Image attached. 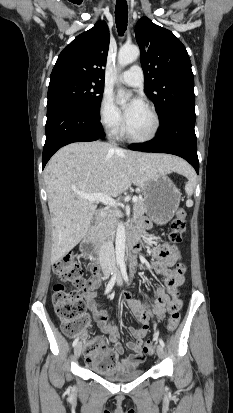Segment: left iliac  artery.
Wrapping results in <instances>:
<instances>
[{
    "label": "left iliac artery",
    "instance_id": "left-iliac-artery-1",
    "mask_svg": "<svg viewBox=\"0 0 233 413\" xmlns=\"http://www.w3.org/2000/svg\"><path fill=\"white\" fill-rule=\"evenodd\" d=\"M120 269H121V273H122V276H123L124 280L128 283V282H129V278H128V275H127V271H126V266H125V264H122V265L120 266ZM159 343H160V345H161L162 347L165 346V343H164V341H163L162 339H159Z\"/></svg>",
    "mask_w": 233,
    "mask_h": 413
}]
</instances>
